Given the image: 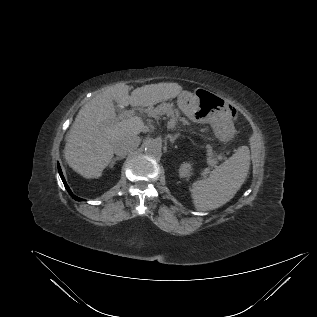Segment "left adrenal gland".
Listing matches in <instances>:
<instances>
[{"instance_id": "a2214340", "label": "left adrenal gland", "mask_w": 317, "mask_h": 317, "mask_svg": "<svg viewBox=\"0 0 317 317\" xmlns=\"http://www.w3.org/2000/svg\"><path fill=\"white\" fill-rule=\"evenodd\" d=\"M178 134H176L175 136H170V142L171 144H173L175 142V140L178 138Z\"/></svg>"}]
</instances>
